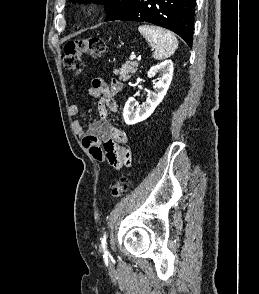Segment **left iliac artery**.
Masks as SVG:
<instances>
[{"mask_svg":"<svg viewBox=\"0 0 259 294\" xmlns=\"http://www.w3.org/2000/svg\"><path fill=\"white\" fill-rule=\"evenodd\" d=\"M106 239H107V236H106V233L104 234L102 240H101V247H102V250L105 254H108V251H107V246H106Z\"/></svg>","mask_w":259,"mask_h":294,"instance_id":"left-iliac-artery-1","label":"left iliac artery"}]
</instances>
